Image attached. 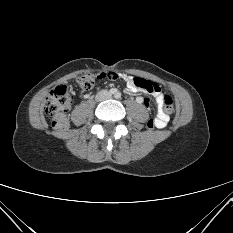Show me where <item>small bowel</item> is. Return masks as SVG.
Returning <instances> with one entry per match:
<instances>
[{
	"label": "small bowel",
	"instance_id": "c3829d8e",
	"mask_svg": "<svg viewBox=\"0 0 233 233\" xmlns=\"http://www.w3.org/2000/svg\"><path fill=\"white\" fill-rule=\"evenodd\" d=\"M97 79L102 81V80H117V81H125L127 89L131 92H137L140 91L141 89H139L135 84H134V77H132L130 74H124V73H119V72H105V73H98L97 74ZM143 91V90H142ZM156 97V101H157V116L155 118V127L158 129H162L164 127H166V125L169 122V116L168 114L164 111L163 108V93L160 91L159 93L154 94ZM137 102L139 104H143L144 106L148 107L149 106V100L147 98H143V97H138L137 98Z\"/></svg>",
	"mask_w": 233,
	"mask_h": 233
}]
</instances>
